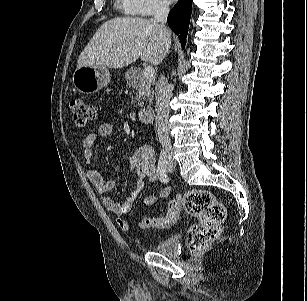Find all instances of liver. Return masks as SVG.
<instances>
[{"mask_svg":"<svg viewBox=\"0 0 307 301\" xmlns=\"http://www.w3.org/2000/svg\"><path fill=\"white\" fill-rule=\"evenodd\" d=\"M171 45L160 24L153 18L118 17L110 19L96 31L80 54L82 66L122 68L139 57L158 65Z\"/></svg>","mask_w":307,"mask_h":301,"instance_id":"6515ba94","label":"liver"}]
</instances>
